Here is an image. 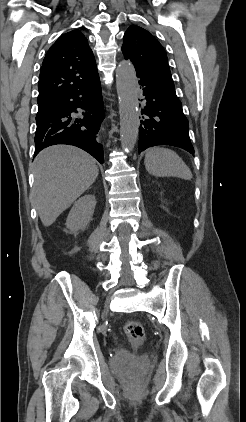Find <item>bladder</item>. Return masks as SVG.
Segmentation results:
<instances>
[{"label":"bladder","instance_id":"obj_1","mask_svg":"<svg viewBox=\"0 0 246 422\" xmlns=\"http://www.w3.org/2000/svg\"><path fill=\"white\" fill-rule=\"evenodd\" d=\"M148 359L144 355H134L125 350H118L112 357V363L120 368L143 367L147 364Z\"/></svg>","mask_w":246,"mask_h":422}]
</instances>
